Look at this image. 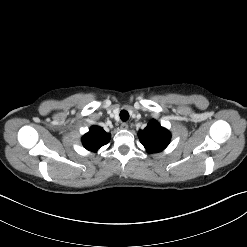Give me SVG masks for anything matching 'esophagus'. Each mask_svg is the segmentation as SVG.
<instances>
[{
	"label": "esophagus",
	"mask_w": 247,
	"mask_h": 247,
	"mask_svg": "<svg viewBox=\"0 0 247 247\" xmlns=\"http://www.w3.org/2000/svg\"><path fill=\"white\" fill-rule=\"evenodd\" d=\"M121 129H124V130H126V129H128V124L127 123H125V122H123V123H121Z\"/></svg>",
	"instance_id": "esophagus-1"
}]
</instances>
